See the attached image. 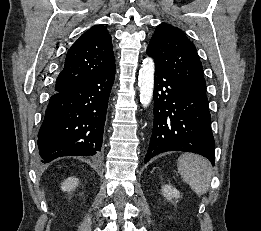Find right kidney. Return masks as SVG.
<instances>
[{
  "label": "right kidney",
  "instance_id": "obj_1",
  "mask_svg": "<svg viewBox=\"0 0 261 231\" xmlns=\"http://www.w3.org/2000/svg\"><path fill=\"white\" fill-rule=\"evenodd\" d=\"M79 180L75 177L67 178L61 185V189L66 192H70L76 188L78 185Z\"/></svg>",
  "mask_w": 261,
  "mask_h": 231
}]
</instances>
